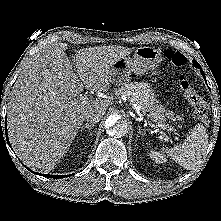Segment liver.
Segmentation results:
<instances>
[{"label":"liver","instance_id":"1","mask_svg":"<svg viewBox=\"0 0 221 221\" xmlns=\"http://www.w3.org/2000/svg\"><path fill=\"white\" fill-rule=\"evenodd\" d=\"M67 44L55 43L21 71L7 106V129L16 155L30 168L48 172L66 155L92 109L104 110L113 96L78 99L83 88L107 92L111 69L132 48L100 46L77 51L73 62ZM75 65V66H74Z\"/></svg>","mask_w":221,"mask_h":221}]
</instances>
